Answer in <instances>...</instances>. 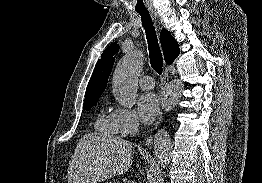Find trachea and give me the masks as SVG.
Segmentation results:
<instances>
[{
	"instance_id": "1",
	"label": "trachea",
	"mask_w": 262,
	"mask_h": 183,
	"mask_svg": "<svg viewBox=\"0 0 262 183\" xmlns=\"http://www.w3.org/2000/svg\"><path fill=\"white\" fill-rule=\"evenodd\" d=\"M142 19V25L145 29L146 38L148 42L150 64L152 68L158 73L162 74L163 71V58L158 43L156 31L153 25V22L150 18L148 11H139L138 12Z\"/></svg>"
}]
</instances>
